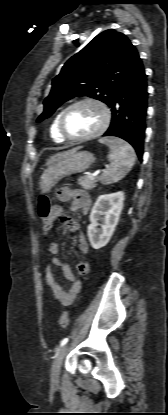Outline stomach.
<instances>
[{
  "mask_svg": "<svg viewBox=\"0 0 168 415\" xmlns=\"http://www.w3.org/2000/svg\"><path fill=\"white\" fill-rule=\"evenodd\" d=\"M95 157L88 151L70 150L66 155L57 159L42 174L40 179V189L43 193L50 192L62 178L87 170Z\"/></svg>",
  "mask_w": 168,
  "mask_h": 415,
  "instance_id": "obj_1",
  "label": "stomach"
}]
</instances>
